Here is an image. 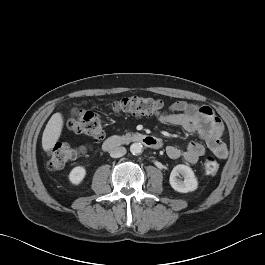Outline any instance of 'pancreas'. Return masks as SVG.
<instances>
[{
    "label": "pancreas",
    "mask_w": 265,
    "mask_h": 265,
    "mask_svg": "<svg viewBox=\"0 0 265 265\" xmlns=\"http://www.w3.org/2000/svg\"><path fill=\"white\" fill-rule=\"evenodd\" d=\"M130 135H131V133H129V132H128V133H126V136H130Z\"/></svg>",
    "instance_id": "obj_1"
}]
</instances>
